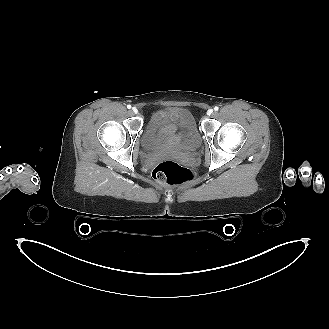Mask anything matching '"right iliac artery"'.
<instances>
[{"mask_svg": "<svg viewBox=\"0 0 329 329\" xmlns=\"http://www.w3.org/2000/svg\"><path fill=\"white\" fill-rule=\"evenodd\" d=\"M127 108L130 109L131 108V105H127Z\"/></svg>", "mask_w": 329, "mask_h": 329, "instance_id": "obj_1", "label": "right iliac artery"}]
</instances>
